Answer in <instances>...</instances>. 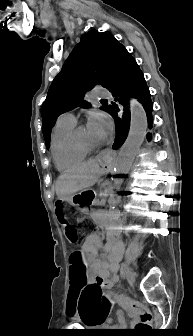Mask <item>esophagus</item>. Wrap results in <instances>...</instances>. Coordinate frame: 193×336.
I'll return each instance as SVG.
<instances>
[{
    "mask_svg": "<svg viewBox=\"0 0 193 336\" xmlns=\"http://www.w3.org/2000/svg\"><path fill=\"white\" fill-rule=\"evenodd\" d=\"M115 154V151L112 148H106L104 151L101 152L100 157H104L107 155Z\"/></svg>",
    "mask_w": 193,
    "mask_h": 336,
    "instance_id": "obj_1",
    "label": "esophagus"
}]
</instances>
